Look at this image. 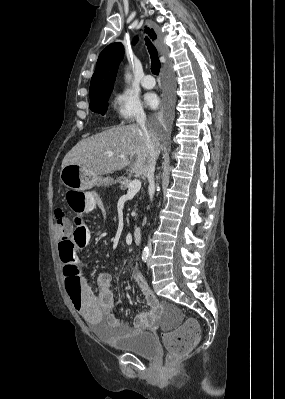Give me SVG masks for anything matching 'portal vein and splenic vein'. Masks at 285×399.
I'll return each instance as SVG.
<instances>
[{
    "instance_id": "1",
    "label": "portal vein and splenic vein",
    "mask_w": 285,
    "mask_h": 399,
    "mask_svg": "<svg viewBox=\"0 0 285 399\" xmlns=\"http://www.w3.org/2000/svg\"><path fill=\"white\" fill-rule=\"evenodd\" d=\"M121 158L124 157V155L120 156ZM141 188V181L139 179H134L130 184H129V188H128V194L131 193H137Z\"/></svg>"
}]
</instances>
